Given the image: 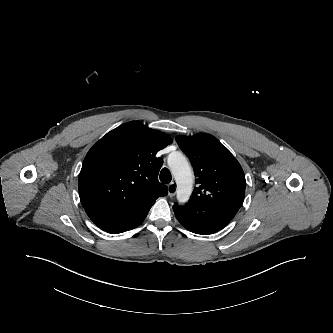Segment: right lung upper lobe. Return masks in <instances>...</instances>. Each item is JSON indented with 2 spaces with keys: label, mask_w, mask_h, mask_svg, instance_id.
<instances>
[{
  "label": "right lung upper lobe",
  "mask_w": 333,
  "mask_h": 333,
  "mask_svg": "<svg viewBox=\"0 0 333 333\" xmlns=\"http://www.w3.org/2000/svg\"><path fill=\"white\" fill-rule=\"evenodd\" d=\"M172 143L165 133L139 121L107 133L87 153L79 174V196L89 218L102 230L145 217L167 187L158 181L163 160L156 153Z\"/></svg>",
  "instance_id": "right-lung-upper-lobe-1"
}]
</instances>
